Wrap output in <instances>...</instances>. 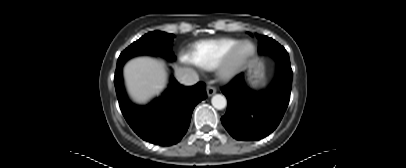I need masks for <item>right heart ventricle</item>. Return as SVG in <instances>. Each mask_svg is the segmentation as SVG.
I'll list each match as a JSON object with an SVG mask.
<instances>
[{
    "instance_id": "right-heart-ventricle-1",
    "label": "right heart ventricle",
    "mask_w": 406,
    "mask_h": 168,
    "mask_svg": "<svg viewBox=\"0 0 406 168\" xmlns=\"http://www.w3.org/2000/svg\"><path fill=\"white\" fill-rule=\"evenodd\" d=\"M239 42L234 38L200 40L190 46L187 59L202 69L213 70L219 66L228 52Z\"/></svg>"
}]
</instances>
